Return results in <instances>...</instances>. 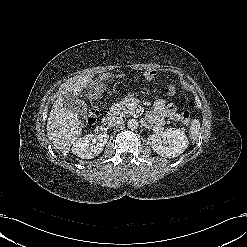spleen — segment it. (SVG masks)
Returning a JSON list of instances; mask_svg holds the SVG:
<instances>
[{
	"instance_id": "obj_1",
	"label": "spleen",
	"mask_w": 247,
	"mask_h": 247,
	"mask_svg": "<svg viewBox=\"0 0 247 247\" xmlns=\"http://www.w3.org/2000/svg\"><path fill=\"white\" fill-rule=\"evenodd\" d=\"M200 121L198 119H194L191 122V126L189 129V137L192 142H195L198 138L199 131H200Z\"/></svg>"
}]
</instances>
